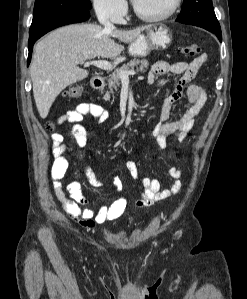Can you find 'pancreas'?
I'll list each match as a JSON object with an SVG mask.
<instances>
[{
    "mask_svg": "<svg viewBox=\"0 0 247 299\" xmlns=\"http://www.w3.org/2000/svg\"><path fill=\"white\" fill-rule=\"evenodd\" d=\"M149 63L146 59H133L131 60L129 63L124 64L119 71H131L136 69L137 71L140 72H145L148 69ZM119 71L112 73L109 78H108V87L109 90L106 91L105 95H104V100L105 101H109L111 98V94L114 93V91H117L118 88L120 87V75H119Z\"/></svg>",
    "mask_w": 247,
    "mask_h": 299,
    "instance_id": "obj_1",
    "label": "pancreas"
}]
</instances>
